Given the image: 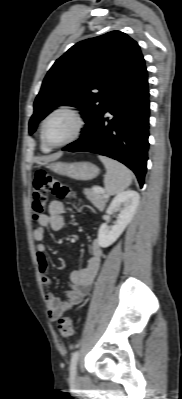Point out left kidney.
I'll use <instances>...</instances> for the list:
<instances>
[{
    "label": "left kidney",
    "mask_w": 182,
    "mask_h": 399,
    "mask_svg": "<svg viewBox=\"0 0 182 399\" xmlns=\"http://www.w3.org/2000/svg\"><path fill=\"white\" fill-rule=\"evenodd\" d=\"M140 196L134 190H127L118 194L106 210L108 215L119 211L118 218L113 226L102 224L98 231V244L102 248L112 245L131 222L139 204Z\"/></svg>",
    "instance_id": "obj_1"
}]
</instances>
